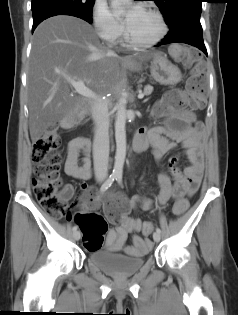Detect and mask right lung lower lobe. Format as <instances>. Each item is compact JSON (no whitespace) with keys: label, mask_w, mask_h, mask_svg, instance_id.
Wrapping results in <instances>:
<instances>
[{"label":"right lung lower lobe","mask_w":238,"mask_h":315,"mask_svg":"<svg viewBox=\"0 0 238 315\" xmlns=\"http://www.w3.org/2000/svg\"><path fill=\"white\" fill-rule=\"evenodd\" d=\"M32 13H33L32 32L43 20L56 15H71L84 19L89 23H92V15H88L78 9L70 8L67 6L45 5L32 9Z\"/></svg>","instance_id":"obj_1"}]
</instances>
